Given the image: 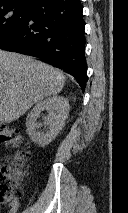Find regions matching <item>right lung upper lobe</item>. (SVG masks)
I'll return each instance as SVG.
<instances>
[{"label":"right lung upper lobe","instance_id":"obj_1","mask_svg":"<svg viewBox=\"0 0 128 213\" xmlns=\"http://www.w3.org/2000/svg\"><path fill=\"white\" fill-rule=\"evenodd\" d=\"M38 0H0V6L4 5H22V6H33Z\"/></svg>","mask_w":128,"mask_h":213}]
</instances>
